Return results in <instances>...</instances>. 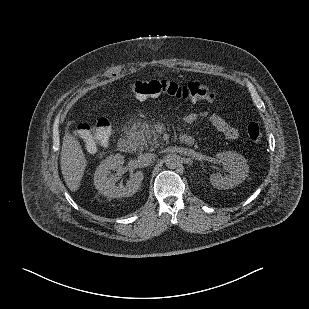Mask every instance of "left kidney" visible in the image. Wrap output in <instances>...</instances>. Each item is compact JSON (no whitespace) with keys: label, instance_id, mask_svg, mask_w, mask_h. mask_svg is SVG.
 Masks as SVG:
<instances>
[{"label":"left kidney","instance_id":"obj_1","mask_svg":"<svg viewBox=\"0 0 309 309\" xmlns=\"http://www.w3.org/2000/svg\"><path fill=\"white\" fill-rule=\"evenodd\" d=\"M219 162L223 163L228 171L227 176L212 174L210 183L217 189H230L241 184L249 173V166L245 157L234 151L220 152L217 154Z\"/></svg>","mask_w":309,"mask_h":309}]
</instances>
